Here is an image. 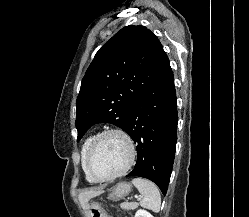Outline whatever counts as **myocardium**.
Masks as SVG:
<instances>
[{
	"label": "myocardium",
	"instance_id": "1",
	"mask_svg": "<svg viewBox=\"0 0 249 217\" xmlns=\"http://www.w3.org/2000/svg\"><path fill=\"white\" fill-rule=\"evenodd\" d=\"M112 134L120 136L126 142L128 149H129V157H128L127 163L120 171L116 172L115 174H113L111 176L97 177L93 174V172L90 168L91 156L93 154V151H94L97 143L105 136L112 135ZM135 158H136V148H135V145H134L132 138L129 136L128 133H126L125 131L118 129V128L105 129V130L101 131L100 133H98L91 141L89 148H88V151H87L86 156H85V169H86L87 174L90 176V178L93 181H95V182H109V181H113V180L123 176L124 174H126L133 166V164L135 162Z\"/></svg>",
	"mask_w": 249,
	"mask_h": 217
}]
</instances>
